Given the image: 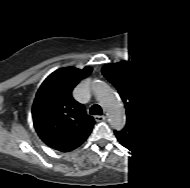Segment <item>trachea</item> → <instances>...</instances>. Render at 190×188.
Returning a JSON list of instances; mask_svg holds the SVG:
<instances>
[{"instance_id": "trachea-1", "label": "trachea", "mask_w": 190, "mask_h": 188, "mask_svg": "<svg viewBox=\"0 0 190 188\" xmlns=\"http://www.w3.org/2000/svg\"><path fill=\"white\" fill-rule=\"evenodd\" d=\"M102 109L98 104H94L90 108V114L91 115H102Z\"/></svg>"}]
</instances>
